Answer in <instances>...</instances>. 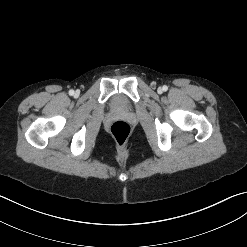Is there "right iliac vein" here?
<instances>
[{
	"mask_svg": "<svg viewBox=\"0 0 247 247\" xmlns=\"http://www.w3.org/2000/svg\"><path fill=\"white\" fill-rule=\"evenodd\" d=\"M78 95H79V92H78V91H76V92H75V96H78Z\"/></svg>",
	"mask_w": 247,
	"mask_h": 247,
	"instance_id": "obj_1",
	"label": "right iliac vein"
}]
</instances>
